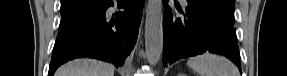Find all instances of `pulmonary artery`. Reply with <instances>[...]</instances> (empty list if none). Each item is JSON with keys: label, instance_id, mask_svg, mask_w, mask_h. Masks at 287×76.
Wrapping results in <instances>:
<instances>
[{"label": "pulmonary artery", "instance_id": "e3ab8cb5", "mask_svg": "<svg viewBox=\"0 0 287 76\" xmlns=\"http://www.w3.org/2000/svg\"><path fill=\"white\" fill-rule=\"evenodd\" d=\"M182 2H186V0H181Z\"/></svg>", "mask_w": 287, "mask_h": 76}]
</instances>
